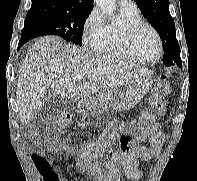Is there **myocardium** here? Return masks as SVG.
I'll return each mask as SVG.
<instances>
[{
	"label": "myocardium",
	"mask_w": 197,
	"mask_h": 181,
	"mask_svg": "<svg viewBox=\"0 0 197 181\" xmlns=\"http://www.w3.org/2000/svg\"><path fill=\"white\" fill-rule=\"evenodd\" d=\"M144 28L149 29L154 34L158 43V54L152 60H146L140 57L135 48V41H136L137 35ZM124 44H125L127 51L130 53L133 59L144 64H154L158 62L163 53V43H162L160 34L151 24L144 22V21H140L135 24H132L126 29L125 35H124Z\"/></svg>",
	"instance_id": "myocardium-1"
}]
</instances>
